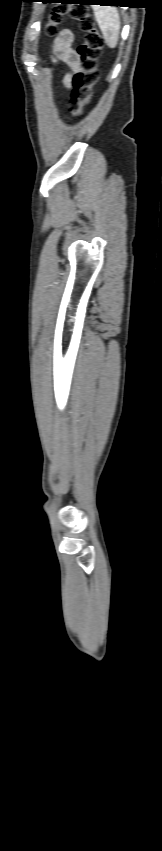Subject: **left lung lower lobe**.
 Wrapping results in <instances>:
<instances>
[{
    "label": "left lung lower lobe",
    "instance_id": "1",
    "mask_svg": "<svg viewBox=\"0 0 162 851\" xmlns=\"http://www.w3.org/2000/svg\"><path fill=\"white\" fill-rule=\"evenodd\" d=\"M73 1L74 2L71 1V2H62V3H79L81 5L87 4V3L88 4L101 3V4H104V5L118 6L117 3L123 2L122 0H73ZM51 2L53 3L54 1H51Z\"/></svg>",
    "mask_w": 162,
    "mask_h": 851
}]
</instances>
